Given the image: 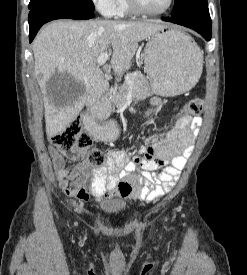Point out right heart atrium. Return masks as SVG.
I'll use <instances>...</instances> for the list:
<instances>
[{
  "instance_id": "1",
  "label": "right heart atrium",
  "mask_w": 247,
  "mask_h": 275,
  "mask_svg": "<svg viewBox=\"0 0 247 275\" xmlns=\"http://www.w3.org/2000/svg\"><path fill=\"white\" fill-rule=\"evenodd\" d=\"M97 10L105 16H113L118 0H92Z\"/></svg>"
}]
</instances>
